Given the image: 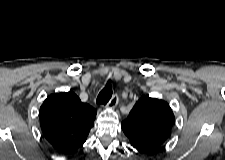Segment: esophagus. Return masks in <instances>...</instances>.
<instances>
[{
	"mask_svg": "<svg viewBox=\"0 0 225 160\" xmlns=\"http://www.w3.org/2000/svg\"><path fill=\"white\" fill-rule=\"evenodd\" d=\"M118 103V95L115 94L112 96L111 100L109 101L107 107L110 108V109H114L116 107Z\"/></svg>",
	"mask_w": 225,
	"mask_h": 160,
	"instance_id": "1",
	"label": "esophagus"
}]
</instances>
